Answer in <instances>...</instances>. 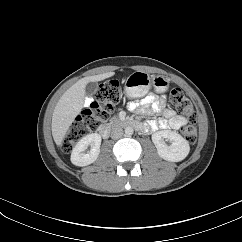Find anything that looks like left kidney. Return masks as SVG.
<instances>
[{
	"instance_id": "1",
	"label": "left kidney",
	"mask_w": 242,
	"mask_h": 242,
	"mask_svg": "<svg viewBox=\"0 0 242 242\" xmlns=\"http://www.w3.org/2000/svg\"><path fill=\"white\" fill-rule=\"evenodd\" d=\"M165 140L171 142L167 145ZM152 141L157 148L158 155L164 160L179 162L187 157L190 151L188 141L177 132L171 130L158 131L152 135Z\"/></svg>"
}]
</instances>
